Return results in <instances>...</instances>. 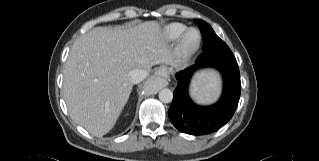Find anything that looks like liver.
<instances>
[{"instance_id":"obj_1","label":"liver","mask_w":319,"mask_h":161,"mask_svg":"<svg viewBox=\"0 0 319 161\" xmlns=\"http://www.w3.org/2000/svg\"><path fill=\"white\" fill-rule=\"evenodd\" d=\"M171 52L158 22L135 27H96L72 45L63 74V96L71 118L97 137L108 133L126 105L129 72L168 64Z\"/></svg>"}]
</instances>
